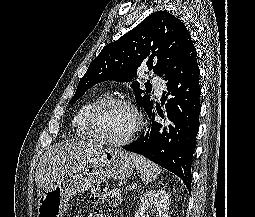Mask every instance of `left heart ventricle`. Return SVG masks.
<instances>
[{"mask_svg":"<svg viewBox=\"0 0 255 217\" xmlns=\"http://www.w3.org/2000/svg\"><path fill=\"white\" fill-rule=\"evenodd\" d=\"M135 123L134 113L124 106L109 107L99 117L102 132L114 140L126 137L134 128Z\"/></svg>","mask_w":255,"mask_h":217,"instance_id":"b2bd125f","label":"left heart ventricle"}]
</instances>
